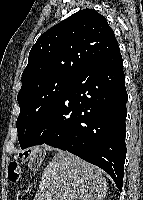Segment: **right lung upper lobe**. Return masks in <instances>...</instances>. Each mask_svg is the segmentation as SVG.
<instances>
[{"instance_id": "obj_1", "label": "right lung upper lobe", "mask_w": 143, "mask_h": 200, "mask_svg": "<svg viewBox=\"0 0 143 200\" xmlns=\"http://www.w3.org/2000/svg\"><path fill=\"white\" fill-rule=\"evenodd\" d=\"M118 47L104 16L94 9L76 12L37 39L22 73L21 89L50 77L73 78Z\"/></svg>"}]
</instances>
